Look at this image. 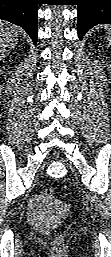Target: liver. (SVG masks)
Returning <instances> with one entry per match:
<instances>
[{
	"mask_svg": "<svg viewBox=\"0 0 111 257\" xmlns=\"http://www.w3.org/2000/svg\"><path fill=\"white\" fill-rule=\"evenodd\" d=\"M18 32L14 25L9 23H1L0 26V57L5 58L7 54L16 46L18 40Z\"/></svg>",
	"mask_w": 111,
	"mask_h": 257,
	"instance_id": "obj_1",
	"label": "liver"
}]
</instances>
